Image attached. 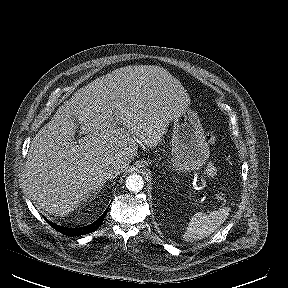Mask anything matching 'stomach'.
I'll use <instances>...</instances> for the list:
<instances>
[{
	"mask_svg": "<svg viewBox=\"0 0 288 288\" xmlns=\"http://www.w3.org/2000/svg\"><path fill=\"white\" fill-rule=\"evenodd\" d=\"M209 158V145L199 116L185 108L173 119L172 158L169 168L187 173L203 167Z\"/></svg>",
	"mask_w": 288,
	"mask_h": 288,
	"instance_id": "stomach-1",
	"label": "stomach"
}]
</instances>
